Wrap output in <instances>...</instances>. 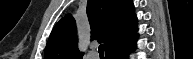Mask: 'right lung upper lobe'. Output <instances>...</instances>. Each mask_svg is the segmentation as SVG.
<instances>
[{
    "instance_id": "cb5924a9",
    "label": "right lung upper lobe",
    "mask_w": 193,
    "mask_h": 59,
    "mask_svg": "<svg viewBox=\"0 0 193 59\" xmlns=\"http://www.w3.org/2000/svg\"><path fill=\"white\" fill-rule=\"evenodd\" d=\"M92 39L104 42L106 53L136 34L134 6L129 0H88ZM77 48L75 20L67 14L53 28L44 59H82Z\"/></svg>"
}]
</instances>
